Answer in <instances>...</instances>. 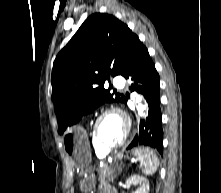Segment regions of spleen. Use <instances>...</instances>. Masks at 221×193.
Here are the masks:
<instances>
[{"instance_id":"1","label":"spleen","mask_w":221,"mask_h":193,"mask_svg":"<svg viewBox=\"0 0 221 193\" xmlns=\"http://www.w3.org/2000/svg\"><path fill=\"white\" fill-rule=\"evenodd\" d=\"M134 151L143 173L153 175L159 166V160L156 154L149 149V146H136Z\"/></svg>"}]
</instances>
